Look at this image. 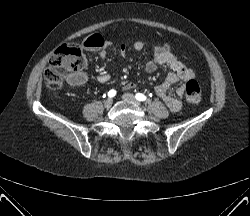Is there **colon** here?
<instances>
[{"mask_svg": "<svg viewBox=\"0 0 250 216\" xmlns=\"http://www.w3.org/2000/svg\"><path fill=\"white\" fill-rule=\"evenodd\" d=\"M167 50L169 46L164 44L160 46ZM86 61L81 49L76 45H65L60 47L51 58L44 76L48 87L57 92L63 82L85 68ZM186 100L191 104H197L201 101L202 93L197 81L191 79L186 83Z\"/></svg>", "mask_w": 250, "mask_h": 216, "instance_id": "obj_1", "label": "colon"}]
</instances>
